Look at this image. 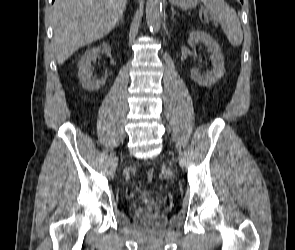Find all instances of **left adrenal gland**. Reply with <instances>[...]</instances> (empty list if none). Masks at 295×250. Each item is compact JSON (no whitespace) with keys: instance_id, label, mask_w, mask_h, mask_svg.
Instances as JSON below:
<instances>
[{"instance_id":"obj_1","label":"left adrenal gland","mask_w":295,"mask_h":250,"mask_svg":"<svg viewBox=\"0 0 295 250\" xmlns=\"http://www.w3.org/2000/svg\"><path fill=\"white\" fill-rule=\"evenodd\" d=\"M175 11L174 8L171 7V19L174 20Z\"/></svg>"}]
</instances>
